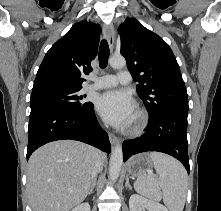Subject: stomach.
<instances>
[{"label": "stomach", "instance_id": "stomach-1", "mask_svg": "<svg viewBox=\"0 0 221 211\" xmlns=\"http://www.w3.org/2000/svg\"><path fill=\"white\" fill-rule=\"evenodd\" d=\"M153 162L149 154H138L127 163L128 173L133 176L147 174L152 170Z\"/></svg>", "mask_w": 221, "mask_h": 211}]
</instances>
